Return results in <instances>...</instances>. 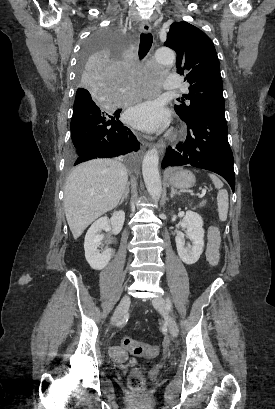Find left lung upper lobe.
<instances>
[{
    "mask_svg": "<svg viewBox=\"0 0 275 409\" xmlns=\"http://www.w3.org/2000/svg\"><path fill=\"white\" fill-rule=\"evenodd\" d=\"M165 46L177 53V73L190 83L189 100L177 99L176 113L185 122L200 115L215 114L225 117L222 78L217 53L211 39L197 27L187 22H174L167 34Z\"/></svg>",
    "mask_w": 275,
    "mask_h": 409,
    "instance_id": "left-lung-upper-lobe-1",
    "label": "left lung upper lobe"
}]
</instances>
